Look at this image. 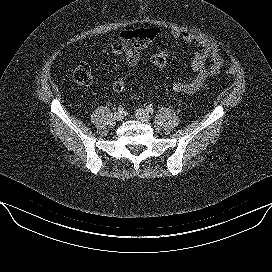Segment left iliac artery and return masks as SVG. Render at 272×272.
Segmentation results:
<instances>
[{
    "label": "left iliac artery",
    "instance_id": "left-iliac-artery-1",
    "mask_svg": "<svg viewBox=\"0 0 272 272\" xmlns=\"http://www.w3.org/2000/svg\"><path fill=\"white\" fill-rule=\"evenodd\" d=\"M146 110H147L148 113H151V114L154 113V109L151 106L146 107Z\"/></svg>",
    "mask_w": 272,
    "mask_h": 272
}]
</instances>
